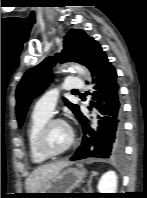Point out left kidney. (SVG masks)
I'll use <instances>...</instances> for the list:
<instances>
[{
  "instance_id": "5707ae66",
  "label": "left kidney",
  "mask_w": 147,
  "mask_h": 198,
  "mask_svg": "<svg viewBox=\"0 0 147 198\" xmlns=\"http://www.w3.org/2000/svg\"><path fill=\"white\" fill-rule=\"evenodd\" d=\"M117 175L114 171H108L102 175L98 183L100 193H116L117 192Z\"/></svg>"
}]
</instances>
